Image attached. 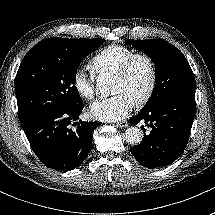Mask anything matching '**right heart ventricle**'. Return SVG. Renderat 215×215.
I'll use <instances>...</instances> for the list:
<instances>
[{"label":"right heart ventricle","instance_id":"e07e8e85","mask_svg":"<svg viewBox=\"0 0 215 215\" xmlns=\"http://www.w3.org/2000/svg\"><path fill=\"white\" fill-rule=\"evenodd\" d=\"M135 50L125 44H110L100 49L88 62L96 75L114 74L119 65Z\"/></svg>","mask_w":215,"mask_h":215}]
</instances>
